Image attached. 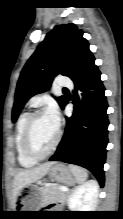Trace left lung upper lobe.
Masks as SVG:
<instances>
[{
	"label": "left lung upper lobe",
	"mask_w": 123,
	"mask_h": 219,
	"mask_svg": "<svg viewBox=\"0 0 123 219\" xmlns=\"http://www.w3.org/2000/svg\"><path fill=\"white\" fill-rule=\"evenodd\" d=\"M93 55L83 32L74 24L57 25L39 44L24 66L17 83L12 121L18 118L27 100L45 92L53 78L59 74L71 79L80 67ZM62 107L66 98L57 97Z\"/></svg>",
	"instance_id": "obj_1"
}]
</instances>
